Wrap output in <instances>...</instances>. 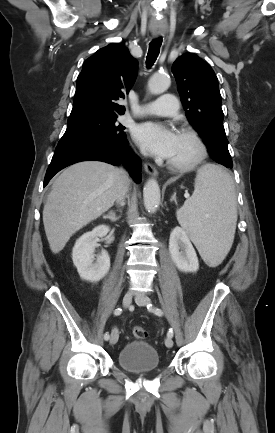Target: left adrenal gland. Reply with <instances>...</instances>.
<instances>
[{
  "mask_svg": "<svg viewBox=\"0 0 275 433\" xmlns=\"http://www.w3.org/2000/svg\"><path fill=\"white\" fill-rule=\"evenodd\" d=\"M171 202L174 201L176 203V193L173 194V196L171 197Z\"/></svg>",
  "mask_w": 275,
  "mask_h": 433,
  "instance_id": "left-adrenal-gland-1",
  "label": "left adrenal gland"
}]
</instances>
